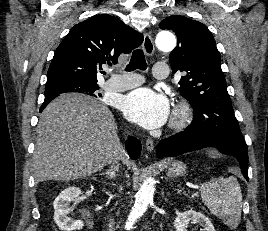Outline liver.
Instances as JSON below:
<instances>
[{"label":"liver","instance_id":"1","mask_svg":"<svg viewBox=\"0 0 268 231\" xmlns=\"http://www.w3.org/2000/svg\"><path fill=\"white\" fill-rule=\"evenodd\" d=\"M129 164L111 111L83 94H62L42 111L33 153L36 182L84 178L112 162Z\"/></svg>","mask_w":268,"mask_h":231}]
</instances>
